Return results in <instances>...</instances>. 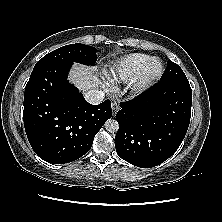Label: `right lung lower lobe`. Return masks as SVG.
Segmentation results:
<instances>
[{
	"label": "right lung lower lobe",
	"instance_id": "right-lung-lower-lobe-1",
	"mask_svg": "<svg viewBox=\"0 0 222 222\" xmlns=\"http://www.w3.org/2000/svg\"><path fill=\"white\" fill-rule=\"evenodd\" d=\"M73 63H55L32 71L24 93V127L34 152L53 164L86 154L95 135L111 118V102L89 104L67 81Z\"/></svg>",
	"mask_w": 222,
	"mask_h": 222
}]
</instances>
